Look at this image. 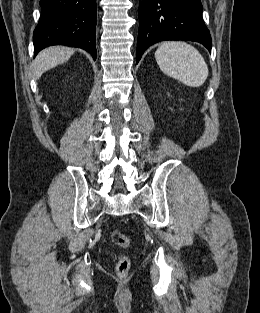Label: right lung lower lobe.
I'll list each match as a JSON object with an SVG mask.
<instances>
[{"instance_id": "obj_1", "label": "right lung lower lobe", "mask_w": 260, "mask_h": 313, "mask_svg": "<svg viewBox=\"0 0 260 313\" xmlns=\"http://www.w3.org/2000/svg\"><path fill=\"white\" fill-rule=\"evenodd\" d=\"M34 54L51 45L87 50L96 59V0H40Z\"/></svg>"}]
</instances>
